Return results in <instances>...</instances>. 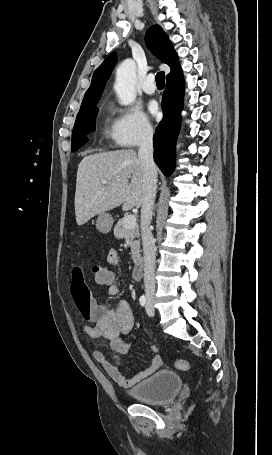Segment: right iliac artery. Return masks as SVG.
Instances as JSON below:
<instances>
[{"instance_id":"right-iliac-artery-1","label":"right iliac artery","mask_w":272,"mask_h":455,"mask_svg":"<svg viewBox=\"0 0 272 455\" xmlns=\"http://www.w3.org/2000/svg\"><path fill=\"white\" fill-rule=\"evenodd\" d=\"M139 302H140L141 306H145V304H146V297H145V295H142V296L140 297Z\"/></svg>"}]
</instances>
